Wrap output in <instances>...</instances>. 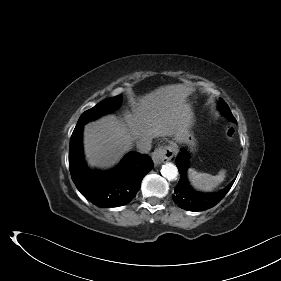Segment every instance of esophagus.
Segmentation results:
<instances>
[{
  "mask_svg": "<svg viewBox=\"0 0 281 281\" xmlns=\"http://www.w3.org/2000/svg\"><path fill=\"white\" fill-rule=\"evenodd\" d=\"M174 156V151L169 145H162L152 153V160L155 165L171 160Z\"/></svg>",
  "mask_w": 281,
  "mask_h": 281,
  "instance_id": "34e87169",
  "label": "esophagus"
}]
</instances>
